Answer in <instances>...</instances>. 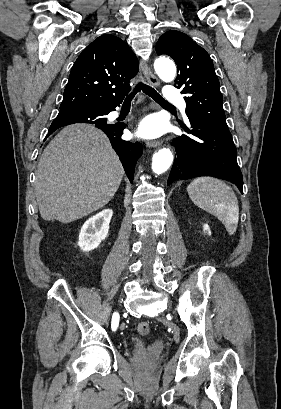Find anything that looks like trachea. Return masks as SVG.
Wrapping results in <instances>:
<instances>
[{
  "label": "trachea",
  "instance_id": "3493384b",
  "mask_svg": "<svg viewBox=\"0 0 281 409\" xmlns=\"http://www.w3.org/2000/svg\"><path fill=\"white\" fill-rule=\"evenodd\" d=\"M142 90V92H144L146 95H148L149 97L153 98V100H155V102L160 103V104H166V105H172L170 104L167 100H165L163 97H161V95H159V93L156 92V90L152 87H150L149 85H146L143 82H139L137 83L136 87L134 88L133 92L130 93L129 95H127V97L124 100V103H129L133 100V98L135 97V94L137 92H140Z\"/></svg>",
  "mask_w": 281,
  "mask_h": 409
}]
</instances>
